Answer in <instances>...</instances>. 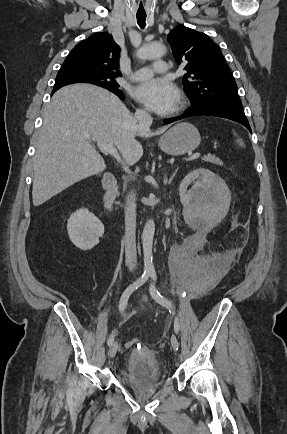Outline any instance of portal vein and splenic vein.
<instances>
[{"label": "portal vein and splenic vein", "instance_id": "18ae733b", "mask_svg": "<svg viewBox=\"0 0 287 434\" xmlns=\"http://www.w3.org/2000/svg\"><path fill=\"white\" fill-rule=\"evenodd\" d=\"M97 147L102 152H105V153H108V154L112 155L119 163L122 164L124 171L126 173H130L129 167H127L126 165H124V163L122 162V159H121V157H120V155H119V153H118V151H117V149H116V147L114 145L108 144V143H102L100 141H97ZM200 156H201L200 153H194L193 155H191L187 159V161H191V160L197 159Z\"/></svg>", "mask_w": 287, "mask_h": 434}]
</instances>
